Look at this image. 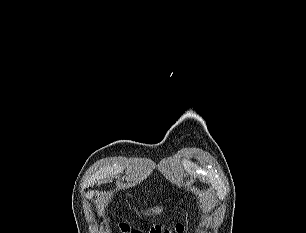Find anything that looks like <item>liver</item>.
Masks as SVG:
<instances>
[{
    "label": "liver",
    "instance_id": "obj_1",
    "mask_svg": "<svg viewBox=\"0 0 306 233\" xmlns=\"http://www.w3.org/2000/svg\"><path fill=\"white\" fill-rule=\"evenodd\" d=\"M153 212V213H155V214H159L161 211H162V209H160L159 207H156L155 209H150V210H148L147 211V214H148V212L150 213V212Z\"/></svg>",
    "mask_w": 306,
    "mask_h": 233
}]
</instances>
